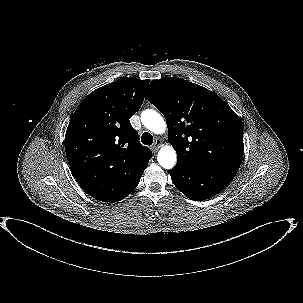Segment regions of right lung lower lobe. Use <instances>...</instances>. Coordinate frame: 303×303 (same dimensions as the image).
<instances>
[{"label":"right lung lower lobe","mask_w":303,"mask_h":303,"mask_svg":"<svg viewBox=\"0 0 303 303\" xmlns=\"http://www.w3.org/2000/svg\"><path fill=\"white\" fill-rule=\"evenodd\" d=\"M138 183H139V181H138ZM138 183L135 184L132 188H130V189H129L128 191H126L123 195H121L119 198H117L116 200H114V201H112V202L120 201V200H122L123 198L127 197V196L136 188V186L138 185Z\"/></svg>","instance_id":"1"}]
</instances>
